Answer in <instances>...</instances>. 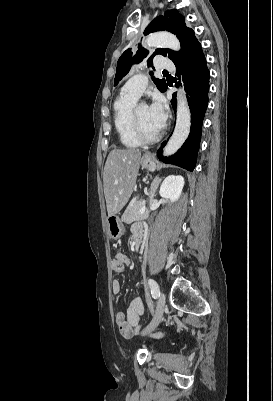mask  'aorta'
Masks as SVG:
<instances>
[{"label":"aorta","mask_w":273,"mask_h":401,"mask_svg":"<svg viewBox=\"0 0 273 401\" xmlns=\"http://www.w3.org/2000/svg\"><path fill=\"white\" fill-rule=\"evenodd\" d=\"M146 47L169 48L180 50V42L177 37L167 32L150 34L144 41ZM191 129V112L185 91L181 88L177 93V116L174 132L164 147L163 155L170 156L176 153L188 138Z\"/></svg>","instance_id":"obj_1"}]
</instances>
